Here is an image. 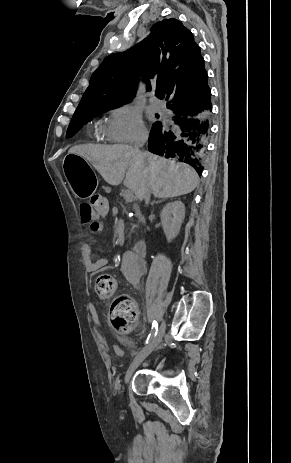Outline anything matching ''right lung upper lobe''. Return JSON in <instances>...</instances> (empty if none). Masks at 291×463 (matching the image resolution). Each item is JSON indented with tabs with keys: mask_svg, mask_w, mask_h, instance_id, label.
Here are the masks:
<instances>
[{
	"mask_svg": "<svg viewBox=\"0 0 291 463\" xmlns=\"http://www.w3.org/2000/svg\"><path fill=\"white\" fill-rule=\"evenodd\" d=\"M206 70L193 34L177 19H164L134 47L106 57L92 74L77 109L128 102L137 90L139 76L165 91L170 102L200 98Z\"/></svg>",
	"mask_w": 291,
	"mask_h": 463,
	"instance_id": "1",
	"label": "right lung upper lobe"
}]
</instances>
